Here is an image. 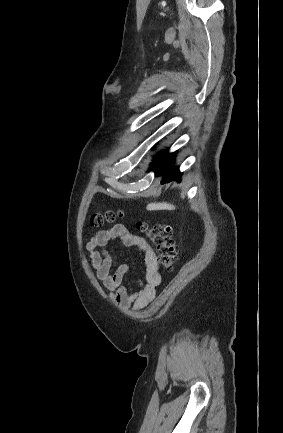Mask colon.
Here are the masks:
<instances>
[{"instance_id":"5ec220e1","label":"colon","mask_w":283,"mask_h":433,"mask_svg":"<svg viewBox=\"0 0 283 433\" xmlns=\"http://www.w3.org/2000/svg\"><path fill=\"white\" fill-rule=\"evenodd\" d=\"M119 215L121 214L112 210L94 213L90 218V223L92 226L101 227L105 223L115 221ZM137 230L144 233L156 245L160 264L164 269L171 271L175 266L178 254L172 227L164 224L150 225L145 222H138Z\"/></svg>"}]
</instances>
